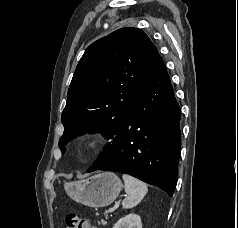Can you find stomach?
Instances as JSON below:
<instances>
[{
    "label": "stomach",
    "mask_w": 238,
    "mask_h": 228,
    "mask_svg": "<svg viewBox=\"0 0 238 228\" xmlns=\"http://www.w3.org/2000/svg\"><path fill=\"white\" fill-rule=\"evenodd\" d=\"M122 187L121 180L112 172H103L87 179L64 184V189L71 199L94 208L110 205Z\"/></svg>",
    "instance_id": "1"
}]
</instances>
